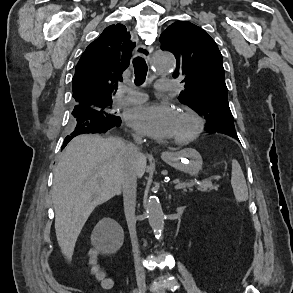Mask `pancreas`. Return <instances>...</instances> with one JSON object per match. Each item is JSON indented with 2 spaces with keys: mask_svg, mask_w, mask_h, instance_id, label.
<instances>
[{
  "mask_svg": "<svg viewBox=\"0 0 293 293\" xmlns=\"http://www.w3.org/2000/svg\"><path fill=\"white\" fill-rule=\"evenodd\" d=\"M190 183V186H188V189L190 191H192V187L193 186H196L197 190L201 191V192H210L212 190H217L218 186L216 185H213L211 180H202L200 181L199 183L197 181H191L189 182ZM184 191L186 192L187 189L185 188Z\"/></svg>",
  "mask_w": 293,
  "mask_h": 293,
  "instance_id": "obj_1",
  "label": "pancreas"
}]
</instances>
